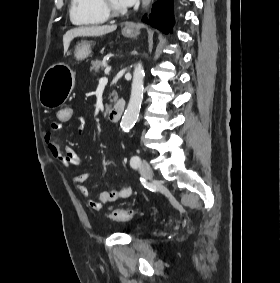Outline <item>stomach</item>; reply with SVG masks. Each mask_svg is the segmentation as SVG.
Wrapping results in <instances>:
<instances>
[{"mask_svg": "<svg viewBox=\"0 0 280 283\" xmlns=\"http://www.w3.org/2000/svg\"><path fill=\"white\" fill-rule=\"evenodd\" d=\"M125 37H136L139 31L130 26L122 29ZM91 53L90 44L86 41L79 43L75 49L77 60L86 59ZM75 85V72L65 63L51 65L44 73L40 89L39 101L45 108L61 106L71 94Z\"/></svg>", "mask_w": 280, "mask_h": 283, "instance_id": "0dacf381", "label": "stomach"}]
</instances>
